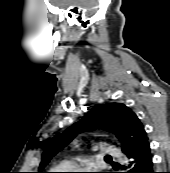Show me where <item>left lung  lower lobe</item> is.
Masks as SVG:
<instances>
[{"mask_svg": "<svg viewBox=\"0 0 170 173\" xmlns=\"http://www.w3.org/2000/svg\"><path fill=\"white\" fill-rule=\"evenodd\" d=\"M125 155L129 161L127 166L122 167L123 169H127L124 173H154L151 149L148 141L125 152Z\"/></svg>", "mask_w": 170, "mask_h": 173, "instance_id": "1", "label": "left lung lower lobe"}]
</instances>
